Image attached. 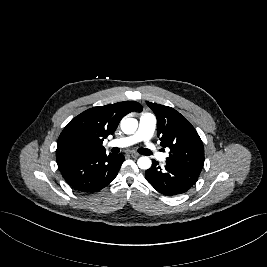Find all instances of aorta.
<instances>
[{"instance_id": "aorta-1", "label": "aorta", "mask_w": 267, "mask_h": 267, "mask_svg": "<svg viewBox=\"0 0 267 267\" xmlns=\"http://www.w3.org/2000/svg\"><path fill=\"white\" fill-rule=\"evenodd\" d=\"M138 128V121L135 118L125 117L121 121V130L125 134H133ZM140 169L147 170L151 167V160L147 156L140 157L137 161Z\"/></svg>"}]
</instances>
